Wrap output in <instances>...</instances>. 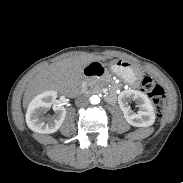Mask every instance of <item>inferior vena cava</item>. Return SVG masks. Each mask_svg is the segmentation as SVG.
Wrapping results in <instances>:
<instances>
[{"label":"inferior vena cava","instance_id":"602c4592","mask_svg":"<svg viewBox=\"0 0 183 183\" xmlns=\"http://www.w3.org/2000/svg\"><path fill=\"white\" fill-rule=\"evenodd\" d=\"M89 103V100L86 96H79L76 100H75V104L77 106H87Z\"/></svg>","mask_w":183,"mask_h":183}]
</instances>
